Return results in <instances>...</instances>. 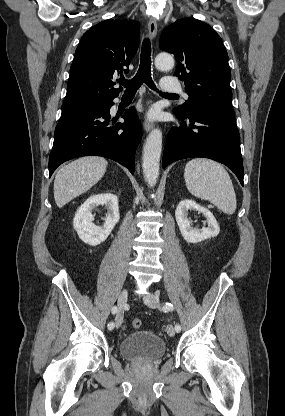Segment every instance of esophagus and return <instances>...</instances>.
<instances>
[{"label": "esophagus", "mask_w": 285, "mask_h": 416, "mask_svg": "<svg viewBox=\"0 0 285 416\" xmlns=\"http://www.w3.org/2000/svg\"><path fill=\"white\" fill-rule=\"evenodd\" d=\"M148 31L151 38H155L157 34V22L154 17H151L148 22ZM153 123L150 121H145L144 129L146 132H149L153 128Z\"/></svg>", "instance_id": "1"}]
</instances>
